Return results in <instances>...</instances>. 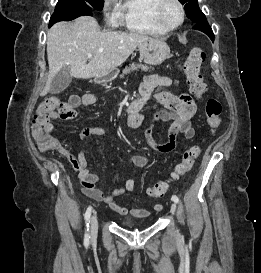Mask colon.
<instances>
[{"mask_svg": "<svg viewBox=\"0 0 261 273\" xmlns=\"http://www.w3.org/2000/svg\"><path fill=\"white\" fill-rule=\"evenodd\" d=\"M205 60V52L200 47H194L183 63V72L186 83L191 93L201 98L205 95L207 87L200 72V67ZM79 97L72 96L68 103H62L58 98L51 97L42 102L33 118L31 131L34 140L42 151L54 150L60 147L58 140L46 128L48 117L57 112L60 119L69 120L76 116L74 107L79 104ZM221 104L217 99L210 98L205 105L207 125L211 132H215L221 124ZM201 148L194 145L188 148L182 156L181 161L175 166L168 180H162L148 189L151 197L157 198L166 194L171 182L178 180L188 173L195 160L199 157Z\"/></svg>", "mask_w": 261, "mask_h": 273, "instance_id": "obj_1", "label": "colon"}]
</instances>
